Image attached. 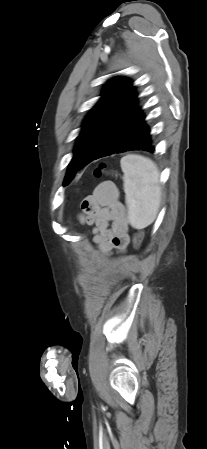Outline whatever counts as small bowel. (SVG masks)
Masks as SVG:
<instances>
[{
  "label": "small bowel",
  "instance_id": "1",
  "mask_svg": "<svg viewBox=\"0 0 207 449\" xmlns=\"http://www.w3.org/2000/svg\"><path fill=\"white\" fill-rule=\"evenodd\" d=\"M79 220L82 224L92 226V240L101 256L126 250L130 240L129 228L124 206L114 183L106 181L99 184L82 201ZM94 262L101 264V257L96 256Z\"/></svg>",
  "mask_w": 207,
  "mask_h": 449
}]
</instances>
